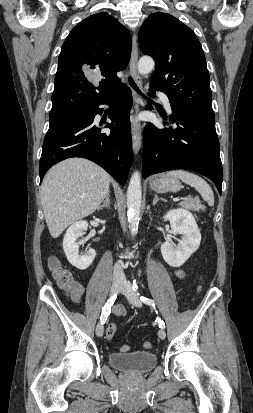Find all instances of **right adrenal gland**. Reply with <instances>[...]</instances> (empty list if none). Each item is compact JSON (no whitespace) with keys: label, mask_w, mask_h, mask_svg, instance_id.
I'll use <instances>...</instances> for the list:
<instances>
[{"label":"right adrenal gland","mask_w":253,"mask_h":413,"mask_svg":"<svg viewBox=\"0 0 253 413\" xmlns=\"http://www.w3.org/2000/svg\"><path fill=\"white\" fill-rule=\"evenodd\" d=\"M110 191L107 193L105 201L103 203V205H101L98 210H102L103 208H109L110 207Z\"/></svg>","instance_id":"right-adrenal-gland-1"}]
</instances>
